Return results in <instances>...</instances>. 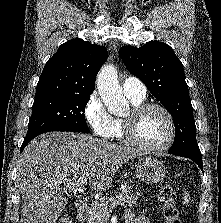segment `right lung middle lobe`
Instances as JSON below:
<instances>
[{"label":"right lung middle lobe","instance_id":"obj_1","mask_svg":"<svg viewBox=\"0 0 221 223\" xmlns=\"http://www.w3.org/2000/svg\"><path fill=\"white\" fill-rule=\"evenodd\" d=\"M90 95H60L34 100L25 138L50 131L90 133L84 116Z\"/></svg>","mask_w":221,"mask_h":223}]
</instances>
